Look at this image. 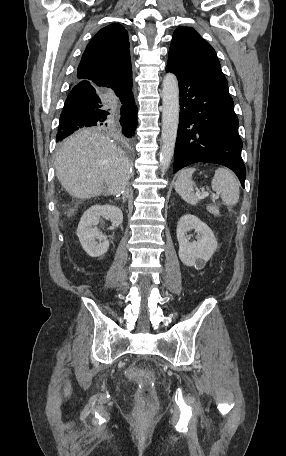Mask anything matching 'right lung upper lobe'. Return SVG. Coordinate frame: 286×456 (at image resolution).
I'll list each match as a JSON object with an SVG mask.
<instances>
[{
    "label": "right lung upper lobe",
    "mask_w": 286,
    "mask_h": 456,
    "mask_svg": "<svg viewBox=\"0 0 286 456\" xmlns=\"http://www.w3.org/2000/svg\"><path fill=\"white\" fill-rule=\"evenodd\" d=\"M77 77L100 83L124 80L132 76L129 38L118 23L102 28L89 42L77 69Z\"/></svg>",
    "instance_id": "cb5924a9"
}]
</instances>
